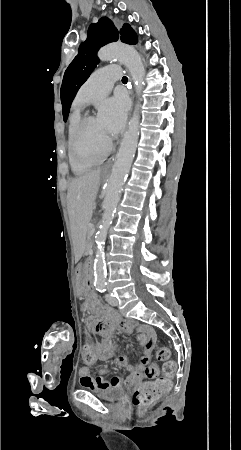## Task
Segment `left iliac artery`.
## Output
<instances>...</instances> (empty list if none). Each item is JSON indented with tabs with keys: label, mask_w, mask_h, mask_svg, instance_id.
<instances>
[{
	"label": "left iliac artery",
	"mask_w": 241,
	"mask_h": 450,
	"mask_svg": "<svg viewBox=\"0 0 241 450\" xmlns=\"http://www.w3.org/2000/svg\"><path fill=\"white\" fill-rule=\"evenodd\" d=\"M99 291H100L101 293L105 292V291H106V287H105V286H101L100 289H99Z\"/></svg>",
	"instance_id": "44dca946"
}]
</instances>
